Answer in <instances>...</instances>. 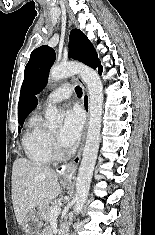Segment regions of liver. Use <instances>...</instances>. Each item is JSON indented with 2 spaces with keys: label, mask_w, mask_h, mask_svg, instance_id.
Here are the masks:
<instances>
[{
  "label": "liver",
  "mask_w": 155,
  "mask_h": 235,
  "mask_svg": "<svg viewBox=\"0 0 155 235\" xmlns=\"http://www.w3.org/2000/svg\"><path fill=\"white\" fill-rule=\"evenodd\" d=\"M60 192L58 174L47 166L17 158L12 168V202L16 220L22 225L35 207H42Z\"/></svg>",
  "instance_id": "obj_1"
}]
</instances>
